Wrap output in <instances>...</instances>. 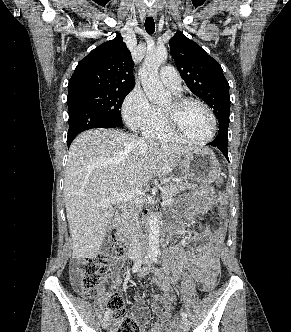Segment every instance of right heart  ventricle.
<instances>
[{"label":"right heart ventricle","instance_id":"e07e8e85","mask_svg":"<svg viewBox=\"0 0 291 332\" xmlns=\"http://www.w3.org/2000/svg\"><path fill=\"white\" fill-rule=\"evenodd\" d=\"M156 114L158 117L157 124L152 129L144 132L143 135L150 140L162 143H184L183 140L177 138L168 130L162 110L156 109Z\"/></svg>","mask_w":291,"mask_h":332}]
</instances>
